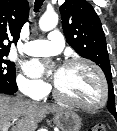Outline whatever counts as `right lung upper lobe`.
Returning a JSON list of instances; mask_svg holds the SVG:
<instances>
[{"mask_svg": "<svg viewBox=\"0 0 117 131\" xmlns=\"http://www.w3.org/2000/svg\"><path fill=\"white\" fill-rule=\"evenodd\" d=\"M28 16L29 4L26 0H0V52L9 53L11 43L19 39Z\"/></svg>", "mask_w": 117, "mask_h": 131, "instance_id": "right-lung-upper-lobe-1", "label": "right lung upper lobe"}]
</instances>
